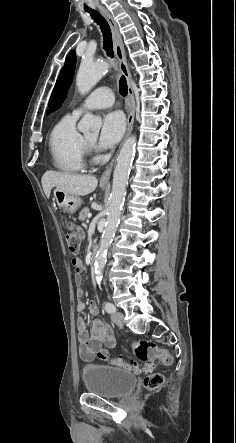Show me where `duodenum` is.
<instances>
[{"instance_id": "obj_1", "label": "duodenum", "mask_w": 236, "mask_h": 443, "mask_svg": "<svg viewBox=\"0 0 236 443\" xmlns=\"http://www.w3.org/2000/svg\"><path fill=\"white\" fill-rule=\"evenodd\" d=\"M94 260H95V253H92V254L89 256V263L92 265L93 262H94Z\"/></svg>"}]
</instances>
